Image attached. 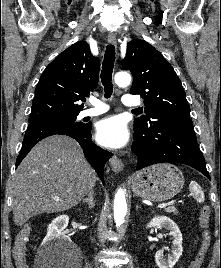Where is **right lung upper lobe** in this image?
<instances>
[{
    "label": "right lung upper lobe",
    "mask_w": 221,
    "mask_h": 268,
    "mask_svg": "<svg viewBox=\"0 0 221 268\" xmlns=\"http://www.w3.org/2000/svg\"><path fill=\"white\" fill-rule=\"evenodd\" d=\"M99 70V58L91 54L86 41L71 45L41 75L30 118L79 114L84 106L78 101L97 87Z\"/></svg>",
    "instance_id": "obj_1"
}]
</instances>
